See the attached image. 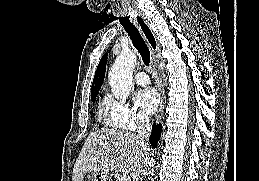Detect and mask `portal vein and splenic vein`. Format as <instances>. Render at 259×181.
<instances>
[{
  "mask_svg": "<svg viewBox=\"0 0 259 181\" xmlns=\"http://www.w3.org/2000/svg\"><path fill=\"white\" fill-rule=\"evenodd\" d=\"M119 181H131V178L127 174H123L120 176Z\"/></svg>",
  "mask_w": 259,
  "mask_h": 181,
  "instance_id": "18ae733b",
  "label": "portal vein and splenic vein"
}]
</instances>
